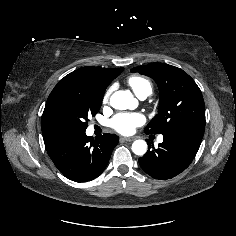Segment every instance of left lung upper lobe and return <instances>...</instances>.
<instances>
[{"label":"left lung upper lobe","mask_w":236,"mask_h":236,"mask_svg":"<svg viewBox=\"0 0 236 236\" xmlns=\"http://www.w3.org/2000/svg\"><path fill=\"white\" fill-rule=\"evenodd\" d=\"M131 72L149 76L160 91L158 114L145 128L146 134L189 126H205V105L195 81L183 70L164 63L134 67Z\"/></svg>","instance_id":"left-lung-upper-lobe-1"}]
</instances>
